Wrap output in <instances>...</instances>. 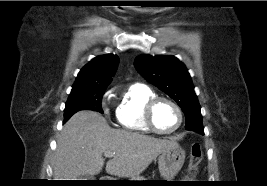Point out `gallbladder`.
Segmentation results:
<instances>
[{"label": "gallbladder", "instance_id": "1", "mask_svg": "<svg viewBox=\"0 0 267 186\" xmlns=\"http://www.w3.org/2000/svg\"><path fill=\"white\" fill-rule=\"evenodd\" d=\"M92 175H83V176H81V178H80V180H90V179H92Z\"/></svg>", "mask_w": 267, "mask_h": 186}]
</instances>
